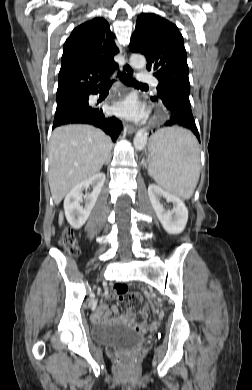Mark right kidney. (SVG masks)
I'll list each match as a JSON object with an SVG mask.
<instances>
[{
    "instance_id": "1",
    "label": "right kidney",
    "mask_w": 252,
    "mask_h": 390,
    "mask_svg": "<svg viewBox=\"0 0 252 390\" xmlns=\"http://www.w3.org/2000/svg\"><path fill=\"white\" fill-rule=\"evenodd\" d=\"M105 182V174L99 172L89 179L82 181L75 186L65 197L64 211L69 224L75 228H81L87 221ZM93 187L90 194H83V191ZM85 206L81 205L82 200Z\"/></svg>"
}]
</instances>
